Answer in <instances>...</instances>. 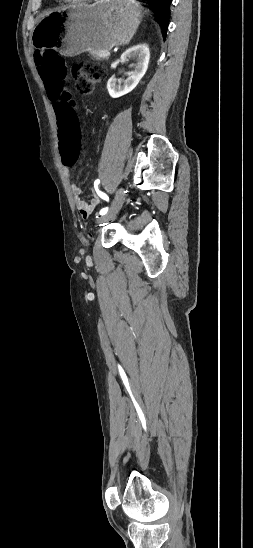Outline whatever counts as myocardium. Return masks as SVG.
Wrapping results in <instances>:
<instances>
[{"label": "myocardium", "instance_id": "obj_1", "mask_svg": "<svg viewBox=\"0 0 253 548\" xmlns=\"http://www.w3.org/2000/svg\"><path fill=\"white\" fill-rule=\"evenodd\" d=\"M65 2H72V3H77V2H83V1H92V0H63Z\"/></svg>", "mask_w": 253, "mask_h": 548}]
</instances>
